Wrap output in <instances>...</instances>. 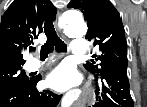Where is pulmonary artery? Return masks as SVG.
<instances>
[{
    "mask_svg": "<svg viewBox=\"0 0 147 107\" xmlns=\"http://www.w3.org/2000/svg\"><path fill=\"white\" fill-rule=\"evenodd\" d=\"M71 50L73 54L84 55L88 51V44L83 39H76L72 41ZM41 65L40 61L36 58H32L27 63L29 70H35Z\"/></svg>",
    "mask_w": 147,
    "mask_h": 107,
    "instance_id": "e3ab8cb5",
    "label": "pulmonary artery"
}]
</instances>
